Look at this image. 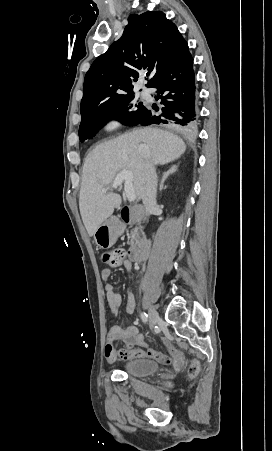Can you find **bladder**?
Returning <instances> with one entry per match:
<instances>
[{
    "label": "bladder",
    "instance_id": "bladder-1",
    "mask_svg": "<svg viewBox=\"0 0 272 451\" xmlns=\"http://www.w3.org/2000/svg\"><path fill=\"white\" fill-rule=\"evenodd\" d=\"M126 376L145 377L158 373L159 364L152 359H128L121 365Z\"/></svg>",
    "mask_w": 272,
    "mask_h": 451
}]
</instances>
